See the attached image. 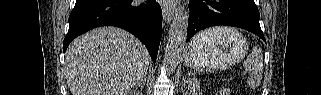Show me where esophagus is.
Masks as SVG:
<instances>
[{
  "instance_id": "esophagus-1",
  "label": "esophagus",
  "mask_w": 321,
  "mask_h": 95,
  "mask_svg": "<svg viewBox=\"0 0 321 95\" xmlns=\"http://www.w3.org/2000/svg\"><path fill=\"white\" fill-rule=\"evenodd\" d=\"M162 13H163V18L165 22L170 23L174 17L175 10L172 6L170 7L166 4V5H163L162 7Z\"/></svg>"
}]
</instances>
